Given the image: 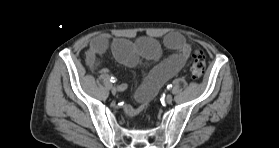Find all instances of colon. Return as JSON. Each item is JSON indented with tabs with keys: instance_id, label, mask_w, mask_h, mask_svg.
<instances>
[{
	"instance_id": "colon-1",
	"label": "colon",
	"mask_w": 279,
	"mask_h": 148,
	"mask_svg": "<svg viewBox=\"0 0 279 148\" xmlns=\"http://www.w3.org/2000/svg\"><path fill=\"white\" fill-rule=\"evenodd\" d=\"M205 55L202 51H196L193 55V63L191 66V76L194 80L202 77L205 70Z\"/></svg>"
}]
</instances>
